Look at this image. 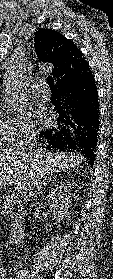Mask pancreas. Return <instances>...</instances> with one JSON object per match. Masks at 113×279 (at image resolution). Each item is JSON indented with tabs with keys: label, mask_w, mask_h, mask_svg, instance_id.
Listing matches in <instances>:
<instances>
[{
	"label": "pancreas",
	"mask_w": 113,
	"mask_h": 279,
	"mask_svg": "<svg viewBox=\"0 0 113 279\" xmlns=\"http://www.w3.org/2000/svg\"><path fill=\"white\" fill-rule=\"evenodd\" d=\"M3 208L11 212L12 226H16L21 222L24 215V205L22 197L15 193H9L4 200Z\"/></svg>",
	"instance_id": "cf45deb5"
}]
</instances>
